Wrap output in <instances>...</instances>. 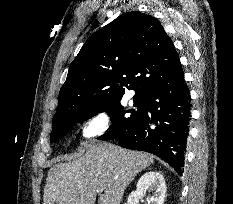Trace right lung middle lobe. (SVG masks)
<instances>
[{"mask_svg": "<svg viewBox=\"0 0 233 204\" xmlns=\"http://www.w3.org/2000/svg\"><path fill=\"white\" fill-rule=\"evenodd\" d=\"M120 100L121 99L111 100L92 109L78 111L59 122L53 123L50 142H54L63 137L77 122L91 118L100 112L108 113L112 121V127L106 134L99 137V139L109 140L113 136L118 135L120 132L128 129L142 113L145 97H133L134 106L136 108L128 111L124 110ZM126 113H131V115H126Z\"/></svg>", "mask_w": 233, "mask_h": 204, "instance_id": "obj_1", "label": "right lung middle lobe"}]
</instances>
